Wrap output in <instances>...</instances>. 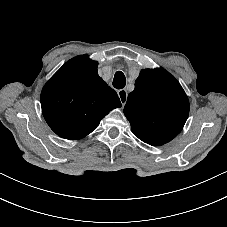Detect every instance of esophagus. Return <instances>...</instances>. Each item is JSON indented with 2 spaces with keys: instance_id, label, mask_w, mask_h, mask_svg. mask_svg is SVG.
<instances>
[{
  "instance_id": "1",
  "label": "esophagus",
  "mask_w": 227,
  "mask_h": 227,
  "mask_svg": "<svg viewBox=\"0 0 227 227\" xmlns=\"http://www.w3.org/2000/svg\"><path fill=\"white\" fill-rule=\"evenodd\" d=\"M117 94H118V97L120 99V102H121L122 108H123L127 101V96H128L127 91H126V89H121V90L117 91Z\"/></svg>"
}]
</instances>
